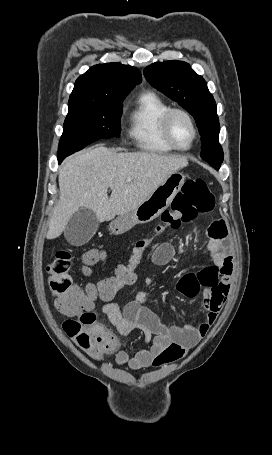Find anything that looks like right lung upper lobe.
Returning a JSON list of instances; mask_svg holds the SVG:
<instances>
[{"label":"right lung upper lobe","instance_id":"1","mask_svg":"<svg viewBox=\"0 0 272 455\" xmlns=\"http://www.w3.org/2000/svg\"><path fill=\"white\" fill-rule=\"evenodd\" d=\"M140 81V71L135 67L117 62L95 65L76 80L69 106L122 104Z\"/></svg>","mask_w":272,"mask_h":455}]
</instances>
